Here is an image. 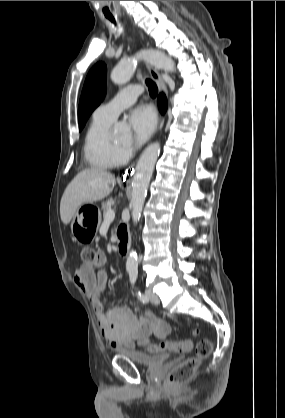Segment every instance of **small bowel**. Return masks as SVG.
Listing matches in <instances>:
<instances>
[{"instance_id": "obj_1", "label": "small bowel", "mask_w": 285, "mask_h": 418, "mask_svg": "<svg viewBox=\"0 0 285 418\" xmlns=\"http://www.w3.org/2000/svg\"><path fill=\"white\" fill-rule=\"evenodd\" d=\"M105 265V254L98 252L94 262L82 264L73 276L75 284L91 301L102 336L115 348H132L137 340L151 336L162 339L169 335L171 326L151 312L136 315L128 307H113L105 311L101 300V293L108 287ZM190 343L191 350L193 343Z\"/></svg>"}]
</instances>
